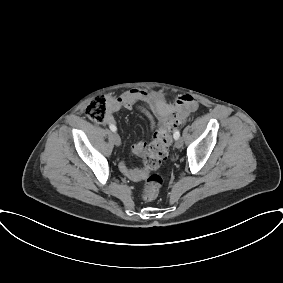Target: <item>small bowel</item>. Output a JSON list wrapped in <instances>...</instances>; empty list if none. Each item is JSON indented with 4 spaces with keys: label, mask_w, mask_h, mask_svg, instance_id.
Returning a JSON list of instances; mask_svg holds the SVG:
<instances>
[{
    "label": "small bowel",
    "mask_w": 283,
    "mask_h": 283,
    "mask_svg": "<svg viewBox=\"0 0 283 283\" xmlns=\"http://www.w3.org/2000/svg\"><path fill=\"white\" fill-rule=\"evenodd\" d=\"M107 123L110 125L115 124L114 113L121 110H130L137 106L148 118L150 128L154 130L166 121L169 117L178 112L179 107L169 102L165 97L157 93H148L142 90L133 89L123 93L118 97H107ZM182 103H193L194 100L189 95H182L177 101ZM146 149V143L144 141L137 142L132 146V152L136 155H141ZM120 172L133 181L141 180L145 175V170L142 168H131L125 161H121L119 164Z\"/></svg>",
    "instance_id": "1"
}]
</instances>
